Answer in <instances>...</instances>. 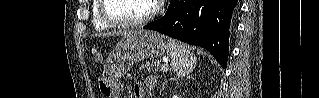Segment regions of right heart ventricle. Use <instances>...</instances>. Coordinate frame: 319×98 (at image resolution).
I'll list each match as a JSON object with an SVG mask.
<instances>
[{"label": "right heart ventricle", "mask_w": 319, "mask_h": 98, "mask_svg": "<svg viewBox=\"0 0 319 98\" xmlns=\"http://www.w3.org/2000/svg\"><path fill=\"white\" fill-rule=\"evenodd\" d=\"M99 8H100V0H94L93 5L91 7L93 28L97 31L107 30L111 26L102 20L99 14Z\"/></svg>", "instance_id": "obj_1"}]
</instances>
